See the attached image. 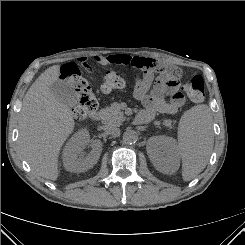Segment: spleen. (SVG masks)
Here are the masks:
<instances>
[{"mask_svg": "<svg viewBox=\"0 0 245 245\" xmlns=\"http://www.w3.org/2000/svg\"><path fill=\"white\" fill-rule=\"evenodd\" d=\"M212 115L207 105L187 110L178 127V150L182 158V178L190 181L206 167L213 147Z\"/></svg>", "mask_w": 245, "mask_h": 245, "instance_id": "3e777b00", "label": "spleen"}]
</instances>
